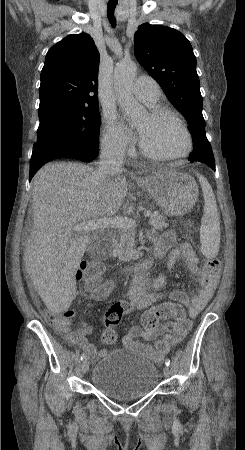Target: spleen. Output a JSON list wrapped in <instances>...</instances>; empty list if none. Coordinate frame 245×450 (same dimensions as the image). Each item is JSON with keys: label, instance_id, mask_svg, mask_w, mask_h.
Returning a JSON list of instances; mask_svg holds the SVG:
<instances>
[{"label": "spleen", "instance_id": "obj_1", "mask_svg": "<svg viewBox=\"0 0 245 450\" xmlns=\"http://www.w3.org/2000/svg\"><path fill=\"white\" fill-rule=\"evenodd\" d=\"M199 178L204 198V214L200 228L201 252L206 258H214L220 248V217L212 187L205 177Z\"/></svg>", "mask_w": 245, "mask_h": 450}]
</instances>
